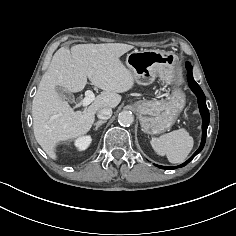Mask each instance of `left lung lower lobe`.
<instances>
[{"label":"left lung lower lobe","instance_id":"obj_1","mask_svg":"<svg viewBox=\"0 0 236 236\" xmlns=\"http://www.w3.org/2000/svg\"><path fill=\"white\" fill-rule=\"evenodd\" d=\"M186 69H187V80L189 82V86H190L191 90L197 96L199 110H200V113L202 116V141H201V144H200L198 150L186 162H184L181 165L175 166V167L156 165L157 167H159L161 169H176V168H180V167L187 165L199 152L202 151V149L205 145L206 135H207V127L209 124V111L206 106L205 95H204L202 89L200 88V86L195 82L193 75H192V67H191L190 63H188V62L186 63Z\"/></svg>","mask_w":236,"mask_h":236}]
</instances>
